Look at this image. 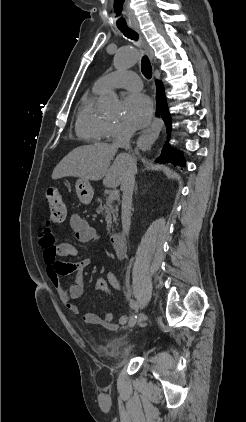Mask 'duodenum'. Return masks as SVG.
Returning a JSON list of instances; mask_svg holds the SVG:
<instances>
[{
  "instance_id": "duodenum-1",
  "label": "duodenum",
  "mask_w": 246,
  "mask_h": 422,
  "mask_svg": "<svg viewBox=\"0 0 246 422\" xmlns=\"http://www.w3.org/2000/svg\"><path fill=\"white\" fill-rule=\"evenodd\" d=\"M110 242L115 251L116 256L118 258L124 257L126 253V246L122 234L118 232L111 234Z\"/></svg>"
}]
</instances>
